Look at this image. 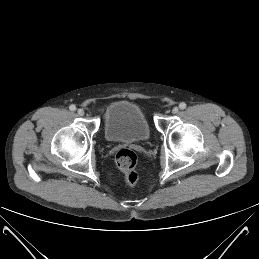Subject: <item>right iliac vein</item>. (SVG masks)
I'll return each mask as SVG.
<instances>
[{"instance_id":"63e3f726","label":"right iliac vein","mask_w":259,"mask_h":259,"mask_svg":"<svg viewBox=\"0 0 259 259\" xmlns=\"http://www.w3.org/2000/svg\"><path fill=\"white\" fill-rule=\"evenodd\" d=\"M77 113H78L79 116H83L85 112H84L83 109H78Z\"/></svg>"}]
</instances>
